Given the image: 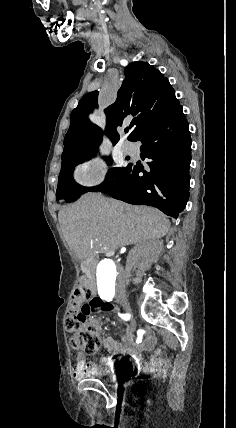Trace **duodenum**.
Segmentation results:
<instances>
[{
  "label": "duodenum",
  "instance_id": "410a0bca",
  "mask_svg": "<svg viewBox=\"0 0 236 428\" xmlns=\"http://www.w3.org/2000/svg\"><path fill=\"white\" fill-rule=\"evenodd\" d=\"M81 266L88 273V281H89V286H90V289H91L92 293L96 294L97 291H98V288H97V284H96L95 275L91 271V268H92V262H91V260L90 259H86V258L82 259Z\"/></svg>",
  "mask_w": 236,
  "mask_h": 428
}]
</instances>
